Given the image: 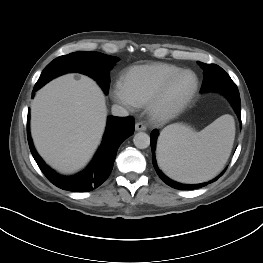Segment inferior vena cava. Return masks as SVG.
<instances>
[{
	"instance_id": "602c4592",
	"label": "inferior vena cava",
	"mask_w": 263,
	"mask_h": 263,
	"mask_svg": "<svg viewBox=\"0 0 263 263\" xmlns=\"http://www.w3.org/2000/svg\"><path fill=\"white\" fill-rule=\"evenodd\" d=\"M111 112H112V115L114 116H119V117L128 116V111L125 108L119 105H116V104L112 106Z\"/></svg>"
}]
</instances>
